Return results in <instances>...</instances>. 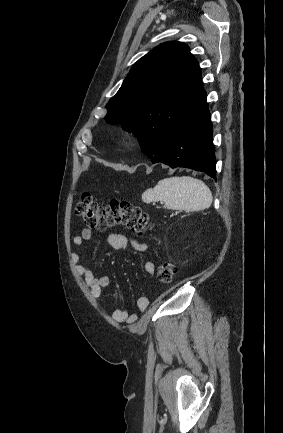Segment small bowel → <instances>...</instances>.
I'll return each instance as SVG.
<instances>
[{"instance_id":"small-bowel-1","label":"small bowel","mask_w":283,"mask_h":433,"mask_svg":"<svg viewBox=\"0 0 283 433\" xmlns=\"http://www.w3.org/2000/svg\"><path fill=\"white\" fill-rule=\"evenodd\" d=\"M93 238V232L89 228H85L81 231L79 235H76L73 238V242L77 247H82L85 241H89ZM109 246L114 250H122L125 248H133L137 251H145L147 249V244L144 242H140L135 238L122 233H111L107 238ZM73 262L76 267V271L79 275L83 276L88 286L91 294L95 298H99L102 294V291L109 285L110 279L108 276H96L93 271L83 265L80 264L81 254L80 252H75L72 256ZM145 272L153 275L155 273V264L153 262H147L144 266ZM149 305V299L147 297H140L137 301V308L139 311L143 312L147 309ZM112 318L116 322H124L129 325L134 324L138 316L137 314H130L126 310L116 309L112 313Z\"/></svg>"}]
</instances>
